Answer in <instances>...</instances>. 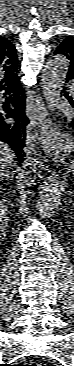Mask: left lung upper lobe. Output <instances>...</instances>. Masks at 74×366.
I'll list each match as a JSON object with an SVG mask.
<instances>
[{"label":"left lung upper lobe","mask_w":74,"mask_h":366,"mask_svg":"<svg viewBox=\"0 0 74 366\" xmlns=\"http://www.w3.org/2000/svg\"><path fill=\"white\" fill-rule=\"evenodd\" d=\"M54 54H62L69 59L70 66L68 73L74 75V36L66 37L56 48Z\"/></svg>","instance_id":"5c2ea615"}]
</instances>
